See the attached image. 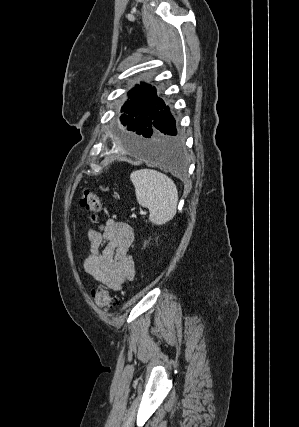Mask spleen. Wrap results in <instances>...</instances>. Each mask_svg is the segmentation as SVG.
<instances>
[{
    "mask_svg": "<svg viewBox=\"0 0 299 427\" xmlns=\"http://www.w3.org/2000/svg\"><path fill=\"white\" fill-rule=\"evenodd\" d=\"M138 203L149 209V221L163 225L177 211L178 191L173 180L152 169H141L131 173Z\"/></svg>",
    "mask_w": 299,
    "mask_h": 427,
    "instance_id": "1",
    "label": "spleen"
}]
</instances>
